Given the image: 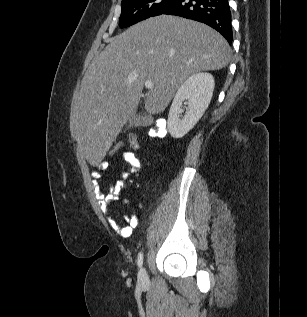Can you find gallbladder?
Here are the masks:
<instances>
[{
    "instance_id": "1",
    "label": "gallbladder",
    "mask_w": 307,
    "mask_h": 317,
    "mask_svg": "<svg viewBox=\"0 0 307 317\" xmlns=\"http://www.w3.org/2000/svg\"><path fill=\"white\" fill-rule=\"evenodd\" d=\"M142 116L138 114H133L129 119L130 127H137L142 123Z\"/></svg>"
}]
</instances>
